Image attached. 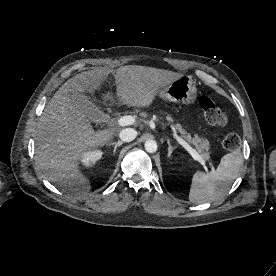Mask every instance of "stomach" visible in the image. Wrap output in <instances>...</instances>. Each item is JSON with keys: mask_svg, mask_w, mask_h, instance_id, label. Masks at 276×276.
I'll list each match as a JSON object with an SVG mask.
<instances>
[{"mask_svg": "<svg viewBox=\"0 0 276 276\" xmlns=\"http://www.w3.org/2000/svg\"><path fill=\"white\" fill-rule=\"evenodd\" d=\"M158 94L165 100L191 105L197 98V88L190 76H181L161 89Z\"/></svg>", "mask_w": 276, "mask_h": 276, "instance_id": "stomach-1", "label": "stomach"}]
</instances>
